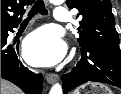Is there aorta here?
<instances>
[{
    "mask_svg": "<svg viewBox=\"0 0 121 94\" xmlns=\"http://www.w3.org/2000/svg\"><path fill=\"white\" fill-rule=\"evenodd\" d=\"M54 4H62L64 0H50ZM50 94H63L62 87L60 84H55L50 90Z\"/></svg>",
    "mask_w": 121,
    "mask_h": 94,
    "instance_id": "obj_1",
    "label": "aorta"
}]
</instances>
